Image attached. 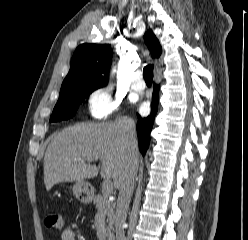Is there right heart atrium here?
Returning a JSON list of instances; mask_svg holds the SVG:
<instances>
[{
	"label": "right heart atrium",
	"instance_id": "right-heart-atrium-1",
	"mask_svg": "<svg viewBox=\"0 0 248 240\" xmlns=\"http://www.w3.org/2000/svg\"><path fill=\"white\" fill-rule=\"evenodd\" d=\"M121 99L112 94L108 86L93 89L87 96V111L97 120L107 119L119 111Z\"/></svg>",
	"mask_w": 248,
	"mask_h": 240
}]
</instances>
